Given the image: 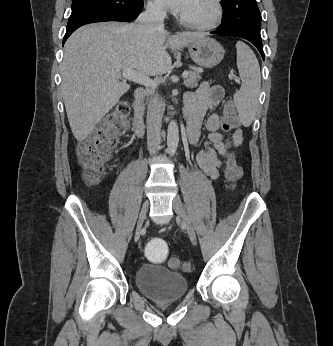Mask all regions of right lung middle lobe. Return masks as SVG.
Instances as JSON below:
<instances>
[{"instance_id": "1", "label": "right lung middle lobe", "mask_w": 333, "mask_h": 346, "mask_svg": "<svg viewBox=\"0 0 333 346\" xmlns=\"http://www.w3.org/2000/svg\"><path fill=\"white\" fill-rule=\"evenodd\" d=\"M142 0H73L68 23L87 13H126L135 9Z\"/></svg>"}]
</instances>
